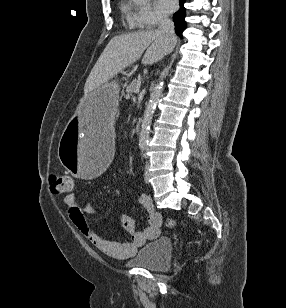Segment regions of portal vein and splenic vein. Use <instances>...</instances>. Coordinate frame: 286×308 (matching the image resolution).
<instances>
[{
  "instance_id": "18ae733b",
  "label": "portal vein and splenic vein",
  "mask_w": 286,
  "mask_h": 308,
  "mask_svg": "<svg viewBox=\"0 0 286 308\" xmlns=\"http://www.w3.org/2000/svg\"><path fill=\"white\" fill-rule=\"evenodd\" d=\"M139 90H140V85L136 86V88H135V93H138Z\"/></svg>"
}]
</instances>
